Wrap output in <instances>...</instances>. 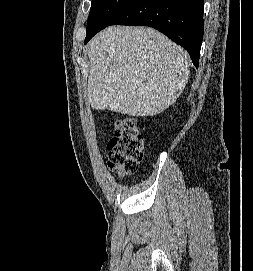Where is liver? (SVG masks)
I'll return each instance as SVG.
<instances>
[{
  "label": "liver",
  "instance_id": "obj_1",
  "mask_svg": "<svg viewBox=\"0 0 253 271\" xmlns=\"http://www.w3.org/2000/svg\"><path fill=\"white\" fill-rule=\"evenodd\" d=\"M87 53V101L96 110L155 116L176 101L189 79L187 52L149 27H108L89 42Z\"/></svg>",
  "mask_w": 253,
  "mask_h": 271
}]
</instances>
